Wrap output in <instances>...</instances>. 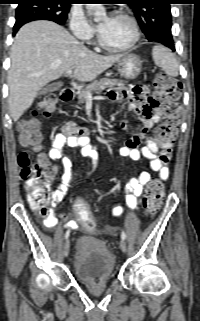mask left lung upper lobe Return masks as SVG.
I'll list each match as a JSON object with an SVG mask.
<instances>
[{"label": "left lung upper lobe", "mask_w": 200, "mask_h": 321, "mask_svg": "<svg viewBox=\"0 0 200 321\" xmlns=\"http://www.w3.org/2000/svg\"><path fill=\"white\" fill-rule=\"evenodd\" d=\"M172 0H125L132 8L142 32L149 41L172 39Z\"/></svg>", "instance_id": "5c2ea615"}]
</instances>
